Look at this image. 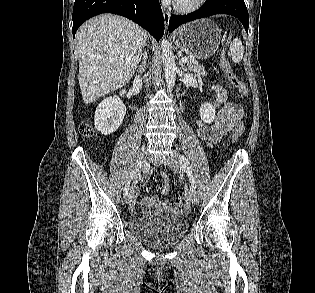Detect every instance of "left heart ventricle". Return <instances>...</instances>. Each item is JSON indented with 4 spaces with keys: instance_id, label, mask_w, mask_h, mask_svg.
Returning <instances> with one entry per match:
<instances>
[{
    "instance_id": "left-heart-ventricle-1",
    "label": "left heart ventricle",
    "mask_w": 315,
    "mask_h": 293,
    "mask_svg": "<svg viewBox=\"0 0 315 293\" xmlns=\"http://www.w3.org/2000/svg\"><path fill=\"white\" fill-rule=\"evenodd\" d=\"M195 0H177L178 3L183 4V5H189L193 3Z\"/></svg>"
}]
</instances>
